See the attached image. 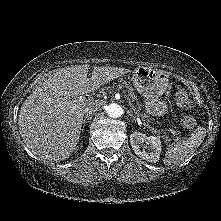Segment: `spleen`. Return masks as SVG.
I'll return each mask as SVG.
<instances>
[{
	"label": "spleen",
	"instance_id": "3e777b00",
	"mask_svg": "<svg viewBox=\"0 0 221 221\" xmlns=\"http://www.w3.org/2000/svg\"><path fill=\"white\" fill-rule=\"evenodd\" d=\"M206 130L198 127L186 139L169 145L167 148L164 164H177L188 159L204 140Z\"/></svg>",
	"mask_w": 221,
	"mask_h": 221
}]
</instances>
